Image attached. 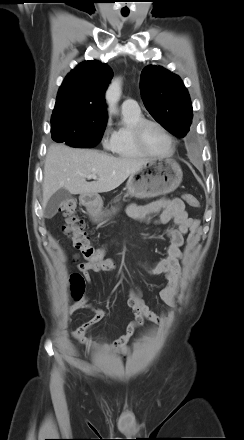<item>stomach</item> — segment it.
<instances>
[{
    "label": "stomach",
    "instance_id": "0dacf381",
    "mask_svg": "<svg viewBox=\"0 0 244 440\" xmlns=\"http://www.w3.org/2000/svg\"><path fill=\"white\" fill-rule=\"evenodd\" d=\"M182 178V169L175 160L152 159L148 160L139 171L129 176L126 187L131 196L150 198L175 191ZM81 202L94 221H100L116 212L115 208L111 212H104L103 201L98 195H82Z\"/></svg>",
    "mask_w": 244,
    "mask_h": 440
}]
</instances>
